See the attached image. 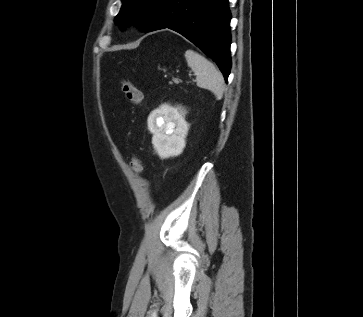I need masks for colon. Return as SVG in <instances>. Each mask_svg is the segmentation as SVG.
Returning a JSON list of instances; mask_svg holds the SVG:
<instances>
[{"label":"colon","instance_id":"5ec220e1","mask_svg":"<svg viewBox=\"0 0 363 317\" xmlns=\"http://www.w3.org/2000/svg\"><path fill=\"white\" fill-rule=\"evenodd\" d=\"M122 91L126 97V99L132 105H138L142 100V92L141 90L131 81L123 80L121 84ZM130 166L133 172L137 175H141L143 172V163L140 158L133 157Z\"/></svg>","mask_w":363,"mask_h":317}]
</instances>
